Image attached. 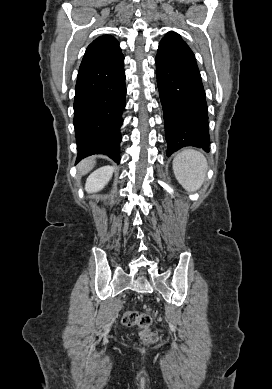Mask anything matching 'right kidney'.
Masks as SVG:
<instances>
[{
    "label": "right kidney",
    "mask_w": 272,
    "mask_h": 389,
    "mask_svg": "<svg viewBox=\"0 0 272 389\" xmlns=\"http://www.w3.org/2000/svg\"><path fill=\"white\" fill-rule=\"evenodd\" d=\"M113 171V167L103 166L91 173L86 180L85 190L88 193L102 190L110 181Z\"/></svg>",
    "instance_id": "1"
}]
</instances>
